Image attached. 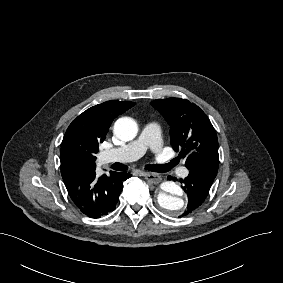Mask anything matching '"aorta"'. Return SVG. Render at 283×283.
<instances>
[{"instance_id": "762f6f07", "label": "aorta", "mask_w": 283, "mask_h": 283, "mask_svg": "<svg viewBox=\"0 0 283 283\" xmlns=\"http://www.w3.org/2000/svg\"><path fill=\"white\" fill-rule=\"evenodd\" d=\"M138 132L137 123L130 117L119 118L114 124L115 135L123 140L134 139ZM183 191L179 185L172 181H165L161 184V191L157 196L158 204L171 215H179L184 208L182 199Z\"/></svg>"}]
</instances>
